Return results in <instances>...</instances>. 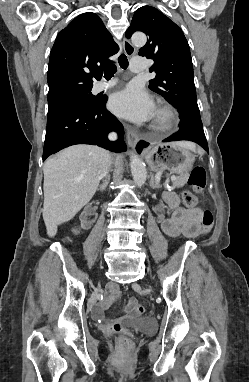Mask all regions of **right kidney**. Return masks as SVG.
I'll return each instance as SVG.
<instances>
[{
    "label": "right kidney",
    "instance_id": "right-kidney-1",
    "mask_svg": "<svg viewBox=\"0 0 249 382\" xmlns=\"http://www.w3.org/2000/svg\"><path fill=\"white\" fill-rule=\"evenodd\" d=\"M95 204H90L84 208V211L80 215L81 227L85 230H90L92 228L91 224L95 223L94 217H87L89 214H93L96 210Z\"/></svg>",
    "mask_w": 249,
    "mask_h": 382
}]
</instances>
